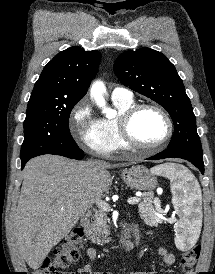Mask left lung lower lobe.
<instances>
[{"mask_svg":"<svg viewBox=\"0 0 215 274\" xmlns=\"http://www.w3.org/2000/svg\"><path fill=\"white\" fill-rule=\"evenodd\" d=\"M164 158H181L188 160L194 166H196L202 174H204V163H203V154L195 153L189 151L175 150V149H166L161 153H158L150 158L149 160H158Z\"/></svg>","mask_w":215,"mask_h":274,"instance_id":"obj_1","label":"left lung lower lobe"}]
</instances>
